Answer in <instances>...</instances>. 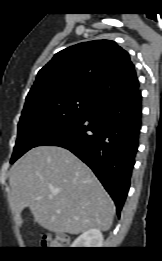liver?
<instances>
[{
  "label": "liver",
  "mask_w": 162,
  "mask_h": 261,
  "mask_svg": "<svg viewBox=\"0 0 162 261\" xmlns=\"http://www.w3.org/2000/svg\"><path fill=\"white\" fill-rule=\"evenodd\" d=\"M9 203L20 227L29 207L35 222L55 233L110 229L114 203L93 172L69 150L39 146L11 168Z\"/></svg>",
  "instance_id": "1"
}]
</instances>
